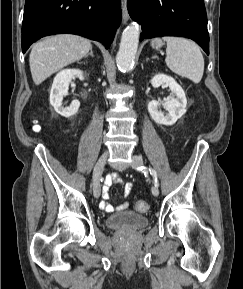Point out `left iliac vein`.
<instances>
[{
  "label": "left iliac vein",
  "instance_id": "1",
  "mask_svg": "<svg viewBox=\"0 0 243 289\" xmlns=\"http://www.w3.org/2000/svg\"><path fill=\"white\" fill-rule=\"evenodd\" d=\"M131 165L134 169H138L139 167L143 166L142 158L140 156L133 155ZM151 192L154 196H158L159 195L158 187L156 185H153L151 188Z\"/></svg>",
  "mask_w": 243,
  "mask_h": 289
}]
</instances>
